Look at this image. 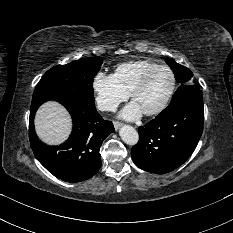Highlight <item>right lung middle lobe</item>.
<instances>
[{
  "mask_svg": "<svg viewBox=\"0 0 233 233\" xmlns=\"http://www.w3.org/2000/svg\"><path fill=\"white\" fill-rule=\"evenodd\" d=\"M102 63L99 58L92 57L51 68L35 88L32 102L39 98H71L95 104L93 78Z\"/></svg>",
  "mask_w": 233,
  "mask_h": 233,
  "instance_id": "right-lung-middle-lobe-1",
  "label": "right lung middle lobe"
}]
</instances>
